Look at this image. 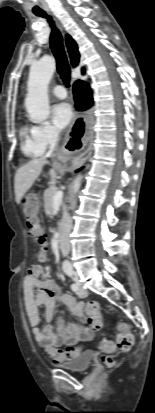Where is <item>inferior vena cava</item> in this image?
<instances>
[{"label":"inferior vena cava","instance_id":"inferior-vena-cava-1","mask_svg":"<svg viewBox=\"0 0 155 413\" xmlns=\"http://www.w3.org/2000/svg\"><path fill=\"white\" fill-rule=\"evenodd\" d=\"M57 142H58V133L52 132L49 138L50 146H49L48 154H52V152L54 151L56 147ZM60 229H61V235H60L61 251H62L63 256H67L70 251L69 234L72 229V219L67 212L63 216Z\"/></svg>","mask_w":155,"mask_h":413}]
</instances>
